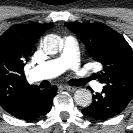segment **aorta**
<instances>
[{"instance_id": "1", "label": "aorta", "mask_w": 133, "mask_h": 133, "mask_svg": "<svg viewBox=\"0 0 133 133\" xmlns=\"http://www.w3.org/2000/svg\"><path fill=\"white\" fill-rule=\"evenodd\" d=\"M42 46L49 55H55L62 49V40L59 36L49 34L44 37ZM74 100L80 106H88L92 102V94L88 89L80 88L74 93Z\"/></svg>"}]
</instances>
